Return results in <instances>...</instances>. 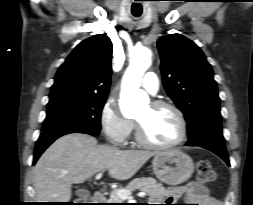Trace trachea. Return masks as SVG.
Masks as SVG:
<instances>
[{
	"label": "trachea",
	"mask_w": 253,
	"mask_h": 205,
	"mask_svg": "<svg viewBox=\"0 0 253 205\" xmlns=\"http://www.w3.org/2000/svg\"><path fill=\"white\" fill-rule=\"evenodd\" d=\"M133 15H134L135 17H139V16H140V14H136V13H133Z\"/></svg>",
	"instance_id": "trachea-1"
}]
</instances>
